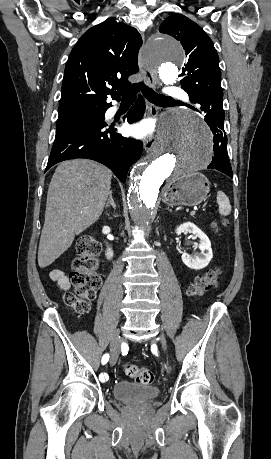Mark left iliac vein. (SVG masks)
<instances>
[{
    "instance_id": "obj_1",
    "label": "left iliac vein",
    "mask_w": 271,
    "mask_h": 459,
    "mask_svg": "<svg viewBox=\"0 0 271 459\" xmlns=\"http://www.w3.org/2000/svg\"><path fill=\"white\" fill-rule=\"evenodd\" d=\"M160 340H161V343L163 345L164 353H166V341H165V338H164L163 334L160 335Z\"/></svg>"
}]
</instances>
